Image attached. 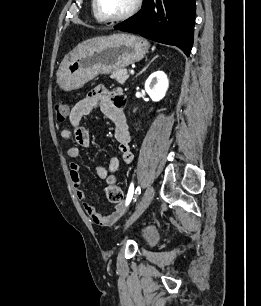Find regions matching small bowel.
Here are the masks:
<instances>
[{"label":"small bowel","instance_id":"1","mask_svg":"<svg viewBox=\"0 0 261 306\" xmlns=\"http://www.w3.org/2000/svg\"><path fill=\"white\" fill-rule=\"evenodd\" d=\"M99 109L114 124V137L118 143L120 159L111 157L107 167L97 165L95 170L100 179H106L109 174L116 173L120 163L130 164L133 160V153L130 148V130L127 117L124 111V96L119 89L108 90L105 87H97L87 96L79 100L69 114L71 128H65L60 135L63 140H75L76 146L67 149L66 155L70 159H75L80 154V147L87 148L90 145V135L81 121L94 110ZM69 173L75 193L82 202L85 212L94 224L102 227L113 225L124 214V206L117 205L106 215H102L87 201L85 192L81 185L80 167L72 162L69 166Z\"/></svg>","mask_w":261,"mask_h":306}]
</instances>
